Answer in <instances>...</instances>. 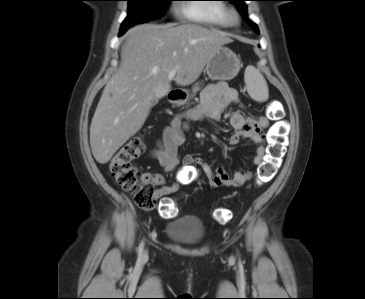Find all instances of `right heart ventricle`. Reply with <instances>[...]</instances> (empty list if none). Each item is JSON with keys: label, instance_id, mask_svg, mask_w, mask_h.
I'll use <instances>...</instances> for the list:
<instances>
[{"label": "right heart ventricle", "instance_id": "1", "mask_svg": "<svg viewBox=\"0 0 365 299\" xmlns=\"http://www.w3.org/2000/svg\"><path fill=\"white\" fill-rule=\"evenodd\" d=\"M199 3L188 4L181 9L182 16L194 23L211 27H226V12L228 10L223 0H191Z\"/></svg>", "mask_w": 365, "mask_h": 299}]
</instances>
